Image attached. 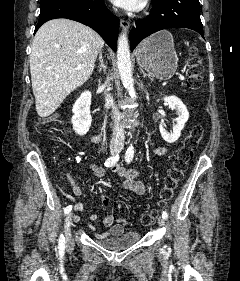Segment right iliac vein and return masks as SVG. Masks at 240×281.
Returning a JSON list of instances; mask_svg holds the SVG:
<instances>
[{"label": "right iliac vein", "instance_id": "obj_1", "mask_svg": "<svg viewBox=\"0 0 240 281\" xmlns=\"http://www.w3.org/2000/svg\"><path fill=\"white\" fill-rule=\"evenodd\" d=\"M118 147L113 146L110 148V152L112 154L117 153ZM72 219H73V213H68L65 224H64V232H65V242L67 247H71L73 245V238L71 234V226H72Z\"/></svg>", "mask_w": 240, "mask_h": 281}]
</instances>
